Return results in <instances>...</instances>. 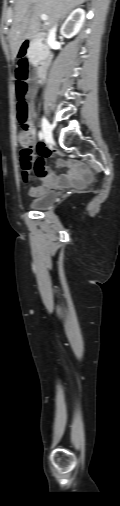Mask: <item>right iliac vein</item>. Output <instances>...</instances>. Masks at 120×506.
<instances>
[{
  "label": "right iliac vein",
  "mask_w": 120,
  "mask_h": 506,
  "mask_svg": "<svg viewBox=\"0 0 120 506\" xmlns=\"http://www.w3.org/2000/svg\"><path fill=\"white\" fill-rule=\"evenodd\" d=\"M42 127L45 140L47 142H52L53 141L52 127L46 118H43L42 120Z\"/></svg>",
  "instance_id": "obj_1"
}]
</instances>
